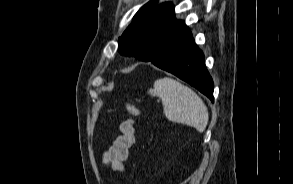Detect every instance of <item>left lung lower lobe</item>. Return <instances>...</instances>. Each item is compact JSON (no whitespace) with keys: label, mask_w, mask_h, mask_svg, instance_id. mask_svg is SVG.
<instances>
[{"label":"left lung lower lobe","mask_w":293,"mask_h":184,"mask_svg":"<svg viewBox=\"0 0 293 184\" xmlns=\"http://www.w3.org/2000/svg\"><path fill=\"white\" fill-rule=\"evenodd\" d=\"M147 50L152 54L147 61L186 81L214 101L213 81L206 69L204 55L184 21L173 16L164 26L163 33L151 39Z\"/></svg>","instance_id":"1"}]
</instances>
